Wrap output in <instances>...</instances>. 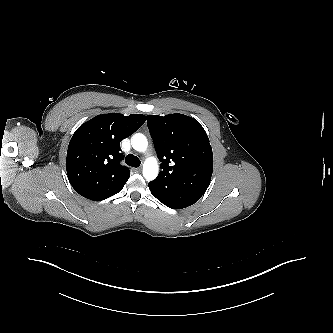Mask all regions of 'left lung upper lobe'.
<instances>
[{
  "label": "left lung upper lobe",
  "instance_id": "left-lung-upper-lobe-1",
  "mask_svg": "<svg viewBox=\"0 0 333 333\" xmlns=\"http://www.w3.org/2000/svg\"><path fill=\"white\" fill-rule=\"evenodd\" d=\"M147 125L161 162L158 177L150 184L157 190L170 189L202 196L213 171V153L201 124L175 113L147 115Z\"/></svg>",
  "mask_w": 333,
  "mask_h": 333
}]
</instances>
